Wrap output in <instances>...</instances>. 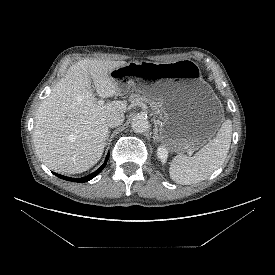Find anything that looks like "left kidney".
Wrapping results in <instances>:
<instances>
[{
    "label": "left kidney",
    "instance_id": "obj_1",
    "mask_svg": "<svg viewBox=\"0 0 275 275\" xmlns=\"http://www.w3.org/2000/svg\"><path fill=\"white\" fill-rule=\"evenodd\" d=\"M157 156L161 160L162 164H165L168 157V151L164 146H160L157 150Z\"/></svg>",
    "mask_w": 275,
    "mask_h": 275
}]
</instances>
